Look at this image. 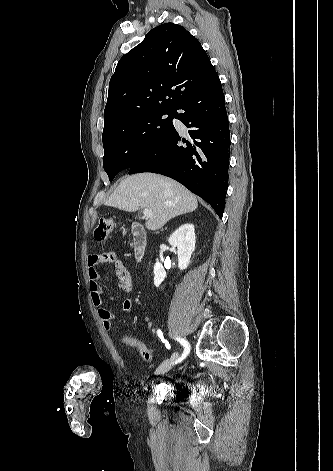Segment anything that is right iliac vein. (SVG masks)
Masks as SVG:
<instances>
[{"mask_svg": "<svg viewBox=\"0 0 333 471\" xmlns=\"http://www.w3.org/2000/svg\"><path fill=\"white\" fill-rule=\"evenodd\" d=\"M177 355H178L177 353H174L170 359H168L162 366H160L156 370L155 374L156 375H163L166 372H168L170 370L171 366H172L171 363L177 357Z\"/></svg>", "mask_w": 333, "mask_h": 471, "instance_id": "63e3f726", "label": "right iliac vein"}]
</instances>
